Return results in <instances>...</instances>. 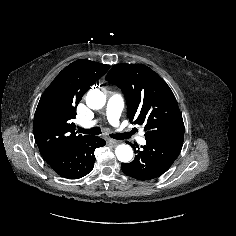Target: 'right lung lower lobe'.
<instances>
[{"label": "right lung lower lobe", "mask_w": 236, "mask_h": 236, "mask_svg": "<svg viewBox=\"0 0 236 236\" xmlns=\"http://www.w3.org/2000/svg\"><path fill=\"white\" fill-rule=\"evenodd\" d=\"M104 145L105 140L91 136L70 148L47 152L42 156L46 163L61 177L79 179L93 169L94 151Z\"/></svg>", "instance_id": "1"}]
</instances>
